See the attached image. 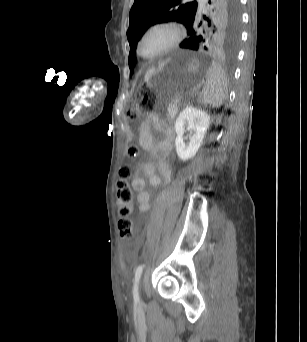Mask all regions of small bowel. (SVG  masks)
<instances>
[{"mask_svg": "<svg viewBox=\"0 0 307 342\" xmlns=\"http://www.w3.org/2000/svg\"><path fill=\"white\" fill-rule=\"evenodd\" d=\"M162 134V139L156 141L153 132ZM175 132L168 127L159 117L153 113L147 114L140 124L139 143L149 153L150 160L139 162L134 169L130 184L136 192V201L140 213L149 211L152 207L151 195L145 190V177L152 188L156 189L161 184V178L156 174V166L165 182H169L171 171L166 159L173 146Z\"/></svg>", "mask_w": 307, "mask_h": 342, "instance_id": "c3829d8e", "label": "small bowel"}]
</instances>
